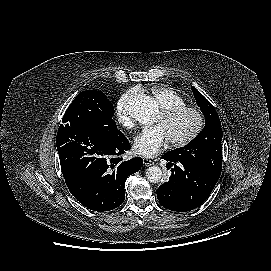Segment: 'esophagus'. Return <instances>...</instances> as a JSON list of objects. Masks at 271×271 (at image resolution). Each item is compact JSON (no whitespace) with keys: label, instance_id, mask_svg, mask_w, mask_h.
Returning a JSON list of instances; mask_svg holds the SVG:
<instances>
[{"label":"esophagus","instance_id":"esophagus-1","mask_svg":"<svg viewBox=\"0 0 271 271\" xmlns=\"http://www.w3.org/2000/svg\"><path fill=\"white\" fill-rule=\"evenodd\" d=\"M143 164L147 167L154 165V162L148 158H143Z\"/></svg>","mask_w":271,"mask_h":271}]
</instances>
